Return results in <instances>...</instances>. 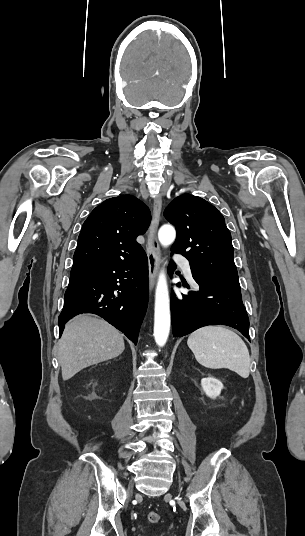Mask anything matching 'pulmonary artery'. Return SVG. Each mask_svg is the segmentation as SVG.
Here are the masks:
<instances>
[{
    "label": "pulmonary artery",
    "mask_w": 305,
    "mask_h": 536,
    "mask_svg": "<svg viewBox=\"0 0 305 536\" xmlns=\"http://www.w3.org/2000/svg\"><path fill=\"white\" fill-rule=\"evenodd\" d=\"M173 260L174 262L176 263H180V266L184 272V274L186 275V277L194 283V279H193V275H192V270H191V266H190V262L188 260H185V257L184 255L182 254H176L174 255L173 257Z\"/></svg>",
    "instance_id": "obj_1"
}]
</instances>
